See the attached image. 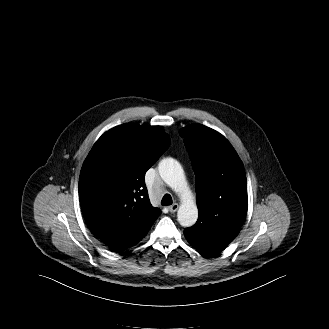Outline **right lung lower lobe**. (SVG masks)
I'll use <instances>...</instances> for the list:
<instances>
[{
    "label": "right lung lower lobe",
    "mask_w": 329,
    "mask_h": 329,
    "mask_svg": "<svg viewBox=\"0 0 329 329\" xmlns=\"http://www.w3.org/2000/svg\"><path fill=\"white\" fill-rule=\"evenodd\" d=\"M146 234L141 235L137 239H134L131 241L118 242V243H114V244H111L108 246L110 249H112L115 252H122V251L126 250L127 248L136 245Z\"/></svg>",
    "instance_id": "1"
}]
</instances>
